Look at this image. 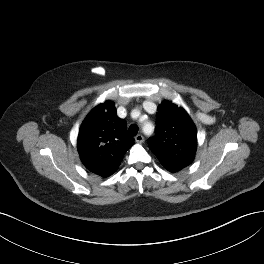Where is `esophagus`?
<instances>
[{"instance_id": "1", "label": "esophagus", "mask_w": 264, "mask_h": 264, "mask_svg": "<svg viewBox=\"0 0 264 264\" xmlns=\"http://www.w3.org/2000/svg\"><path fill=\"white\" fill-rule=\"evenodd\" d=\"M135 141L137 143H143L144 142V137L141 135V134H138L136 137H135Z\"/></svg>"}]
</instances>
